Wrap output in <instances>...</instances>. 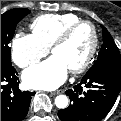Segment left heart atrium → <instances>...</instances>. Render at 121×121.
<instances>
[{"mask_svg": "<svg viewBox=\"0 0 121 121\" xmlns=\"http://www.w3.org/2000/svg\"><path fill=\"white\" fill-rule=\"evenodd\" d=\"M68 68L56 55L37 64L23 74V81L27 87L34 89H55L59 87L68 75Z\"/></svg>", "mask_w": 121, "mask_h": 121, "instance_id": "obj_1", "label": "left heart atrium"}]
</instances>
